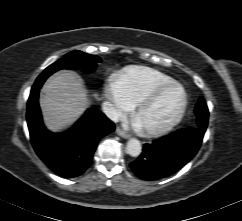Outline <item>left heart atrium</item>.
Masks as SVG:
<instances>
[{
	"instance_id": "39dd6f15",
	"label": "left heart atrium",
	"mask_w": 242,
	"mask_h": 221,
	"mask_svg": "<svg viewBox=\"0 0 242 221\" xmlns=\"http://www.w3.org/2000/svg\"><path fill=\"white\" fill-rule=\"evenodd\" d=\"M136 125H137V127H138V128H141V127L138 125V123H137V122H136Z\"/></svg>"
}]
</instances>
